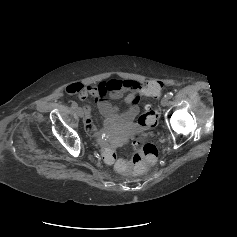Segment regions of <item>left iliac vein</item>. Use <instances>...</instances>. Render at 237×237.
<instances>
[{
    "label": "left iliac vein",
    "instance_id": "4c4485c4",
    "mask_svg": "<svg viewBox=\"0 0 237 237\" xmlns=\"http://www.w3.org/2000/svg\"><path fill=\"white\" fill-rule=\"evenodd\" d=\"M168 102H169V98L167 96H164L162 99H161V105L162 106H167L168 105Z\"/></svg>",
    "mask_w": 237,
    "mask_h": 237
}]
</instances>
